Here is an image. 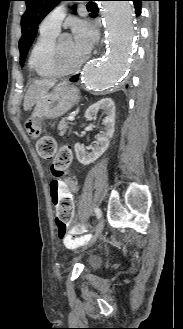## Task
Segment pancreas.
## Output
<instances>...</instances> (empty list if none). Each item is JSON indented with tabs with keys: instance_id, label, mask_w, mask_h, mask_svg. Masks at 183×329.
<instances>
[{
	"instance_id": "pancreas-1",
	"label": "pancreas",
	"mask_w": 183,
	"mask_h": 329,
	"mask_svg": "<svg viewBox=\"0 0 183 329\" xmlns=\"http://www.w3.org/2000/svg\"><path fill=\"white\" fill-rule=\"evenodd\" d=\"M68 127H69V122L66 121L65 119H62L58 125L59 135L61 136L64 135Z\"/></svg>"
}]
</instances>
